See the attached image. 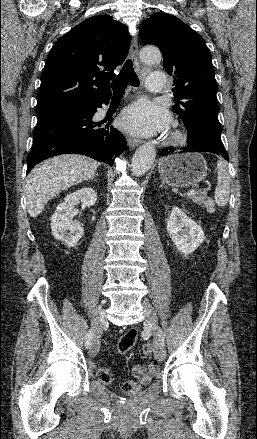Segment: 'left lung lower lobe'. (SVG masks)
Returning a JSON list of instances; mask_svg holds the SVG:
<instances>
[{
	"instance_id": "0a47b994",
	"label": "left lung lower lobe",
	"mask_w": 257,
	"mask_h": 439,
	"mask_svg": "<svg viewBox=\"0 0 257 439\" xmlns=\"http://www.w3.org/2000/svg\"><path fill=\"white\" fill-rule=\"evenodd\" d=\"M191 132L187 128V134ZM196 139H192L188 136V145L181 148L184 151H197V152H210L218 156H222L224 159L229 160L227 151L225 150L220 138L214 135L212 132L206 130L203 127H199L196 132ZM176 152L175 148H164L161 150V156H166Z\"/></svg>"
}]
</instances>
